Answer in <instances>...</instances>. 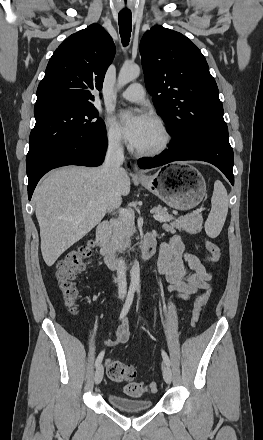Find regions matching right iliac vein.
Segmentation results:
<instances>
[{
    "mask_svg": "<svg viewBox=\"0 0 263 440\" xmlns=\"http://www.w3.org/2000/svg\"><path fill=\"white\" fill-rule=\"evenodd\" d=\"M103 375H104V369L102 365H98L96 371H95V376H94V381L95 384H100L102 379H103Z\"/></svg>",
    "mask_w": 263,
    "mask_h": 440,
    "instance_id": "1",
    "label": "right iliac vein"
}]
</instances>
